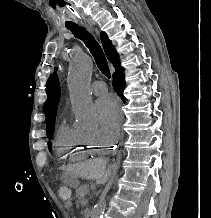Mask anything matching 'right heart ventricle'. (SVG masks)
Segmentation results:
<instances>
[{
  "instance_id": "e07e8e85",
  "label": "right heart ventricle",
  "mask_w": 211,
  "mask_h": 218,
  "mask_svg": "<svg viewBox=\"0 0 211 218\" xmlns=\"http://www.w3.org/2000/svg\"><path fill=\"white\" fill-rule=\"evenodd\" d=\"M57 141L56 152L61 162H78V159L102 154L108 145L91 142L84 131L69 127L65 121L58 128Z\"/></svg>"
}]
</instances>
